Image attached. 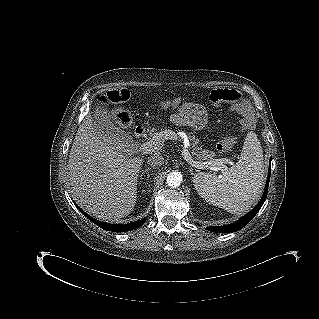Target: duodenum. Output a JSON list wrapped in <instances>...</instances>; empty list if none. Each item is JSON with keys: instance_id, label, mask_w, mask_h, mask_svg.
I'll return each mask as SVG.
<instances>
[{"instance_id": "1", "label": "duodenum", "mask_w": 319, "mask_h": 319, "mask_svg": "<svg viewBox=\"0 0 319 319\" xmlns=\"http://www.w3.org/2000/svg\"><path fill=\"white\" fill-rule=\"evenodd\" d=\"M145 134L144 126H137L134 130V136L136 139H141Z\"/></svg>"}]
</instances>
